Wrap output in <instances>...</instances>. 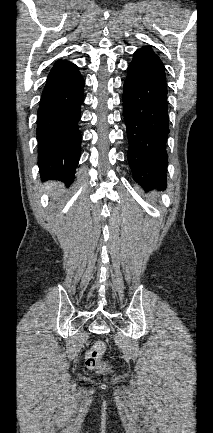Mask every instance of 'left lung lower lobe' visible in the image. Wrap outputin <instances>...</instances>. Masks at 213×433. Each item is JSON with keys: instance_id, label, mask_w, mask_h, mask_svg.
Listing matches in <instances>:
<instances>
[{"instance_id": "obj_1", "label": "left lung lower lobe", "mask_w": 213, "mask_h": 433, "mask_svg": "<svg viewBox=\"0 0 213 433\" xmlns=\"http://www.w3.org/2000/svg\"><path fill=\"white\" fill-rule=\"evenodd\" d=\"M123 111L134 180L144 188L165 189L169 134L166 75L150 46L138 49L129 64Z\"/></svg>"}]
</instances>
